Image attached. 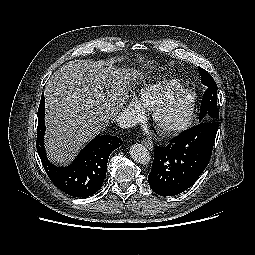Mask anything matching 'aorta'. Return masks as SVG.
<instances>
[{
    "label": "aorta",
    "mask_w": 255,
    "mask_h": 255,
    "mask_svg": "<svg viewBox=\"0 0 255 255\" xmlns=\"http://www.w3.org/2000/svg\"><path fill=\"white\" fill-rule=\"evenodd\" d=\"M129 152L131 158L137 163L146 165L150 162L149 151L142 144H133Z\"/></svg>",
    "instance_id": "1"
}]
</instances>
